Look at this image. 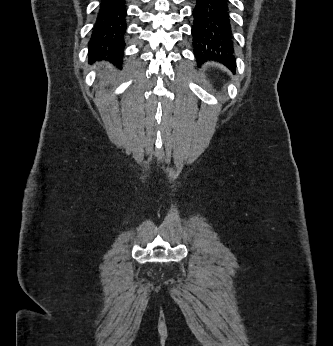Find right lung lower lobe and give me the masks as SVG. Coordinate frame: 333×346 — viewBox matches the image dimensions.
Here are the masks:
<instances>
[{
	"label": "right lung lower lobe",
	"instance_id": "98d812e1",
	"mask_svg": "<svg viewBox=\"0 0 333 346\" xmlns=\"http://www.w3.org/2000/svg\"><path fill=\"white\" fill-rule=\"evenodd\" d=\"M125 0H101L89 41V59L122 62L127 24Z\"/></svg>",
	"mask_w": 333,
	"mask_h": 346
}]
</instances>
